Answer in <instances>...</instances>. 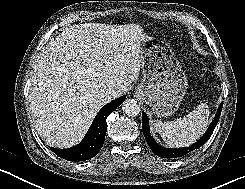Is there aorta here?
I'll return each instance as SVG.
<instances>
[{"label":"aorta","mask_w":245,"mask_h":189,"mask_svg":"<svg viewBox=\"0 0 245 189\" xmlns=\"http://www.w3.org/2000/svg\"><path fill=\"white\" fill-rule=\"evenodd\" d=\"M123 112L129 117H135L140 113V106L134 99H127L122 105Z\"/></svg>","instance_id":"aorta-1"}]
</instances>
